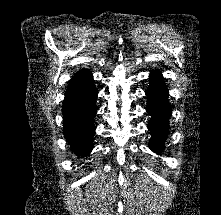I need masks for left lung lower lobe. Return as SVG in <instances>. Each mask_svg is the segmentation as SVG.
I'll use <instances>...</instances> for the list:
<instances>
[{"instance_id": "1", "label": "left lung lower lobe", "mask_w": 221, "mask_h": 215, "mask_svg": "<svg viewBox=\"0 0 221 215\" xmlns=\"http://www.w3.org/2000/svg\"><path fill=\"white\" fill-rule=\"evenodd\" d=\"M150 85L146 91L148 103L146 111L151 115L148 129L151 132L150 149L161 152L169 133L168 120L171 115V107L168 102V90L163 83V77L159 71H153L150 76Z\"/></svg>"}]
</instances>
